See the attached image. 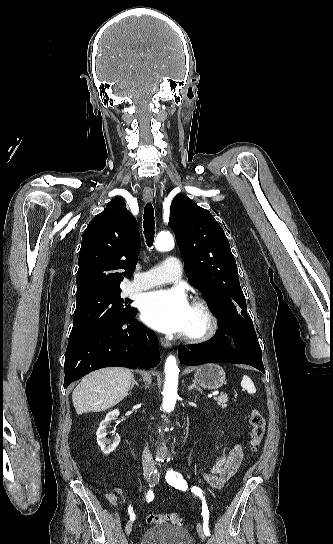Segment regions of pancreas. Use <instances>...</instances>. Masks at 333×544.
I'll list each match as a JSON object with an SVG mask.
<instances>
[{"mask_svg":"<svg viewBox=\"0 0 333 544\" xmlns=\"http://www.w3.org/2000/svg\"><path fill=\"white\" fill-rule=\"evenodd\" d=\"M215 400L217 401V404L222 408L227 407L228 397L226 394H221V396L215 398Z\"/></svg>","mask_w":333,"mask_h":544,"instance_id":"obj_1","label":"pancreas"}]
</instances>
